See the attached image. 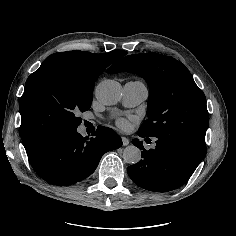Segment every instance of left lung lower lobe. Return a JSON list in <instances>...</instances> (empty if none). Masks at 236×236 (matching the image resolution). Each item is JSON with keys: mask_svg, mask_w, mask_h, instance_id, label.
Returning a JSON list of instances; mask_svg holds the SVG:
<instances>
[{"mask_svg": "<svg viewBox=\"0 0 236 236\" xmlns=\"http://www.w3.org/2000/svg\"><path fill=\"white\" fill-rule=\"evenodd\" d=\"M139 135V134H138ZM145 140H150L149 136ZM154 149H143V142L132 143L142 149V159L127 168L128 175L138 186L155 192H167L182 186L194 173L206 155V144L191 137L160 133L155 136Z\"/></svg>", "mask_w": 236, "mask_h": 236, "instance_id": "0a47b994", "label": "left lung lower lobe"}]
</instances>
